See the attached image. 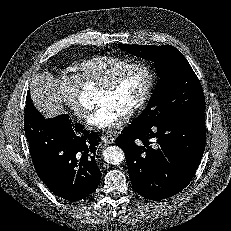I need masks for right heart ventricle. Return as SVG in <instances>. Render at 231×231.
I'll use <instances>...</instances> for the list:
<instances>
[{
    "instance_id": "right-heart-ventricle-1",
    "label": "right heart ventricle",
    "mask_w": 231,
    "mask_h": 231,
    "mask_svg": "<svg viewBox=\"0 0 231 231\" xmlns=\"http://www.w3.org/2000/svg\"><path fill=\"white\" fill-rule=\"evenodd\" d=\"M130 64V60L111 55L96 56L73 65L72 71L79 83L100 86L117 71Z\"/></svg>"
}]
</instances>
